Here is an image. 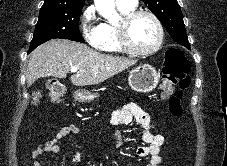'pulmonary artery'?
Listing matches in <instances>:
<instances>
[{
  "label": "pulmonary artery",
  "instance_id": "pulmonary-artery-1",
  "mask_svg": "<svg viewBox=\"0 0 227 166\" xmlns=\"http://www.w3.org/2000/svg\"><path fill=\"white\" fill-rule=\"evenodd\" d=\"M138 0H116V3L128 8H134L137 5Z\"/></svg>",
  "mask_w": 227,
  "mask_h": 166
}]
</instances>
